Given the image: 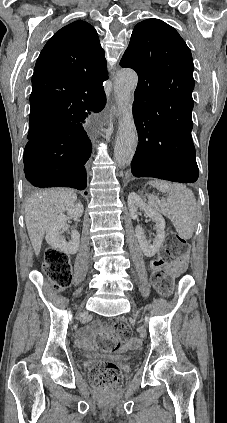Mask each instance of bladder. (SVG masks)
<instances>
[{
    "label": "bladder",
    "mask_w": 227,
    "mask_h": 423,
    "mask_svg": "<svg viewBox=\"0 0 227 423\" xmlns=\"http://www.w3.org/2000/svg\"><path fill=\"white\" fill-rule=\"evenodd\" d=\"M134 361H135V357H134V355L133 354H129V355H127L123 360H122V362L123 363H127V364H133L134 363Z\"/></svg>",
    "instance_id": "1"
}]
</instances>
